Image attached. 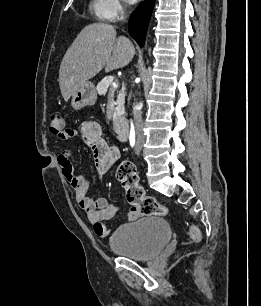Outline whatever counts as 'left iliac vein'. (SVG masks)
Returning <instances> with one entry per match:
<instances>
[{
	"label": "left iliac vein",
	"instance_id": "left-iliac-vein-1",
	"mask_svg": "<svg viewBox=\"0 0 261 306\" xmlns=\"http://www.w3.org/2000/svg\"><path fill=\"white\" fill-rule=\"evenodd\" d=\"M136 150L139 152L141 150V145L139 142H137V145H136Z\"/></svg>",
	"mask_w": 261,
	"mask_h": 306
}]
</instances>
